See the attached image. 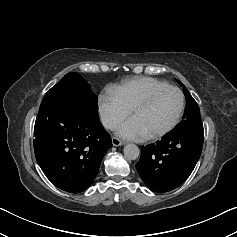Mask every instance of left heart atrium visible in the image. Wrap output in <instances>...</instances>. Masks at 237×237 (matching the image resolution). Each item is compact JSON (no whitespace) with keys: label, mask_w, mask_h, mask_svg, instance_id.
Returning a JSON list of instances; mask_svg holds the SVG:
<instances>
[{"label":"left heart atrium","mask_w":237,"mask_h":237,"mask_svg":"<svg viewBox=\"0 0 237 237\" xmlns=\"http://www.w3.org/2000/svg\"><path fill=\"white\" fill-rule=\"evenodd\" d=\"M118 135L129 140H141L146 137L141 127L134 119H129L118 129Z\"/></svg>","instance_id":"39dd6f15"}]
</instances>
